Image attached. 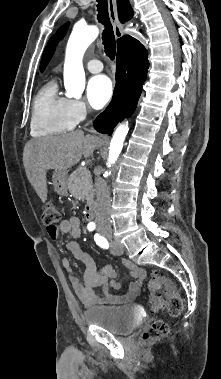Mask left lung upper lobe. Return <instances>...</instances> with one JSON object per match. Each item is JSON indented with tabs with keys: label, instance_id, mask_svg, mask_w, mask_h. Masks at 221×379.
Segmentation results:
<instances>
[{
	"label": "left lung upper lobe",
	"instance_id": "1",
	"mask_svg": "<svg viewBox=\"0 0 221 379\" xmlns=\"http://www.w3.org/2000/svg\"><path fill=\"white\" fill-rule=\"evenodd\" d=\"M68 23L59 28L56 35H53L51 39L49 40L47 46L45 47L44 53L42 55L41 64H40V70L43 71L48 64L50 58L52 57L55 47L60 39L63 38V36L66 33V29L68 27Z\"/></svg>",
	"mask_w": 221,
	"mask_h": 379
}]
</instances>
